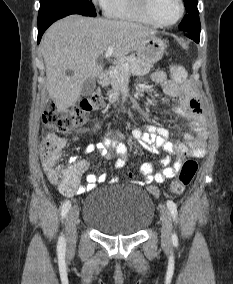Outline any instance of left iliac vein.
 I'll use <instances>...</instances> for the list:
<instances>
[{
    "label": "left iliac vein",
    "mask_w": 233,
    "mask_h": 284,
    "mask_svg": "<svg viewBox=\"0 0 233 284\" xmlns=\"http://www.w3.org/2000/svg\"><path fill=\"white\" fill-rule=\"evenodd\" d=\"M162 229H161V241L165 246L171 243V233H172V218L169 210L162 205L160 207Z\"/></svg>",
    "instance_id": "obj_1"
}]
</instances>
